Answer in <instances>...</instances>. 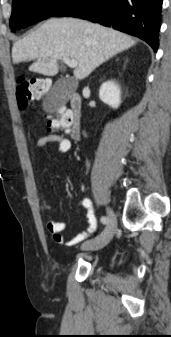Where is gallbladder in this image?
Segmentation results:
<instances>
[{"label":"gallbladder","mask_w":171,"mask_h":337,"mask_svg":"<svg viewBox=\"0 0 171 337\" xmlns=\"http://www.w3.org/2000/svg\"><path fill=\"white\" fill-rule=\"evenodd\" d=\"M75 91V84L68 78L58 79L44 100V107L48 112L57 110L65 104Z\"/></svg>","instance_id":"gallbladder-1"}]
</instances>
